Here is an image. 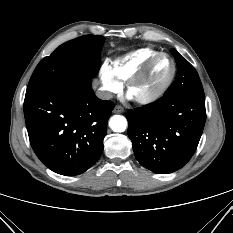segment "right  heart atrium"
<instances>
[{"label": "right heart atrium", "instance_id": "d8ad5b80", "mask_svg": "<svg viewBox=\"0 0 233 233\" xmlns=\"http://www.w3.org/2000/svg\"><path fill=\"white\" fill-rule=\"evenodd\" d=\"M99 78L102 90L107 97L119 93L122 90V83L115 77L109 66L103 65L100 68Z\"/></svg>", "mask_w": 233, "mask_h": 233}]
</instances>
